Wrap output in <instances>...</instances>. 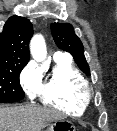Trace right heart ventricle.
Returning <instances> with one entry per match:
<instances>
[{"mask_svg":"<svg viewBox=\"0 0 117 131\" xmlns=\"http://www.w3.org/2000/svg\"><path fill=\"white\" fill-rule=\"evenodd\" d=\"M41 102L67 114L82 115L91 100V91L83 75L65 57L54 58V66L41 79Z\"/></svg>","mask_w":117,"mask_h":131,"instance_id":"1","label":"right heart ventricle"}]
</instances>
